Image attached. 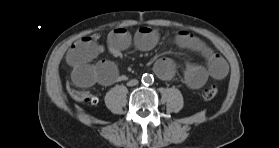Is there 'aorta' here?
Returning <instances> with one entry per match:
<instances>
[{"instance_id": "aorta-1", "label": "aorta", "mask_w": 279, "mask_h": 148, "mask_svg": "<svg viewBox=\"0 0 279 148\" xmlns=\"http://www.w3.org/2000/svg\"><path fill=\"white\" fill-rule=\"evenodd\" d=\"M154 81V78H153V76L152 75H150V74H144L143 76H142V83L143 84H151L152 82Z\"/></svg>"}]
</instances>
